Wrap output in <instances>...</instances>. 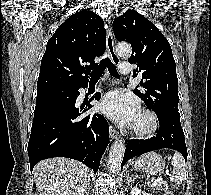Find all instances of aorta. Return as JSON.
Returning a JSON list of instances; mask_svg holds the SVG:
<instances>
[{
	"label": "aorta",
	"instance_id": "1",
	"mask_svg": "<svg viewBox=\"0 0 211 195\" xmlns=\"http://www.w3.org/2000/svg\"><path fill=\"white\" fill-rule=\"evenodd\" d=\"M116 52L121 57H130L132 53L131 46L126 43H119L116 46ZM125 152V142L123 139L116 140L109 152V170L112 173H117L120 171L121 162Z\"/></svg>",
	"mask_w": 211,
	"mask_h": 195
}]
</instances>
